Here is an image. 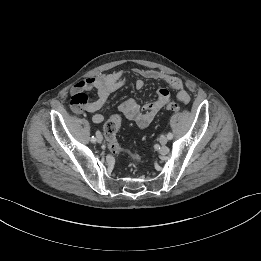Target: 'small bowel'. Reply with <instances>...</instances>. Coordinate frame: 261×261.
I'll return each instance as SVG.
<instances>
[{
	"mask_svg": "<svg viewBox=\"0 0 261 261\" xmlns=\"http://www.w3.org/2000/svg\"><path fill=\"white\" fill-rule=\"evenodd\" d=\"M135 73L142 78L158 80L163 82L176 93V98L182 103L190 101V95L185 90L183 82L174 76L167 75L155 69L136 68ZM142 78L134 81V86L140 90L144 86ZM123 77V71L118 70L110 74H99L77 82L71 89V107L75 113H93L92 121L96 124L102 123L105 117L99 111L105 106L111 93L118 90L127 83ZM96 91L97 96L90 100L87 92ZM170 99V92L166 88L157 91L155 100L140 106L134 99H127L119 105V111L129 120L134 121L140 128L147 127L158 113V111Z\"/></svg>",
	"mask_w": 261,
	"mask_h": 261,
	"instance_id": "obj_1",
	"label": "small bowel"
}]
</instances>
